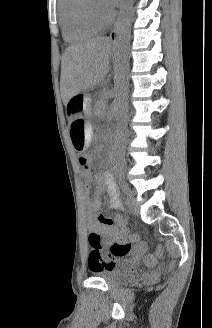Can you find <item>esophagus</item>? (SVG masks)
Here are the masks:
<instances>
[{"mask_svg":"<svg viewBox=\"0 0 212 328\" xmlns=\"http://www.w3.org/2000/svg\"><path fill=\"white\" fill-rule=\"evenodd\" d=\"M118 29H119V19H117V21L115 22L114 27L109 35V40L113 43L116 42Z\"/></svg>","mask_w":212,"mask_h":328,"instance_id":"1","label":"esophagus"}]
</instances>
